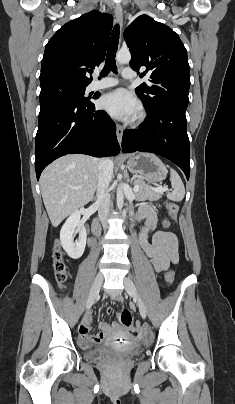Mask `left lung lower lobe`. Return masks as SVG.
Listing matches in <instances>:
<instances>
[{
  "instance_id": "left-lung-lower-lobe-1",
  "label": "left lung lower lobe",
  "mask_w": 235,
  "mask_h": 404,
  "mask_svg": "<svg viewBox=\"0 0 235 404\" xmlns=\"http://www.w3.org/2000/svg\"><path fill=\"white\" fill-rule=\"evenodd\" d=\"M185 111L176 106H163L147 112L141 129L124 131L122 151L161 155L179 166L189 179L190 145Z\"/></svg>"
}]
</instances>
